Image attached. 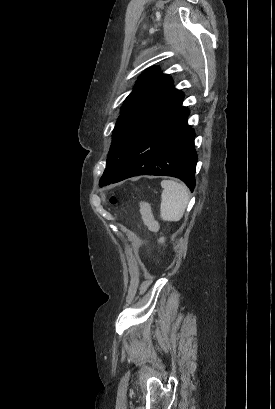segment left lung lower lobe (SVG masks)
<instances>
[{"instance_id": "0a47b994", "label": "left lung lower lobe", "mask_w": 275, "mask_h": 409, "mask_svg": "<svg viewBox=\"0 0 275 409\" xmlns=\"http://www.w3.org/2000/svg\"><path fill=\"white\" fill-rule=\"evenodd\" d=\"M188 115L181 101L157 120L130 150L111 183L137 175H166L181 179L193 191L197 154Z\"/></svg>"}]
</instances>
